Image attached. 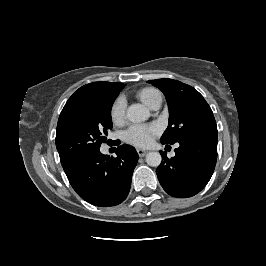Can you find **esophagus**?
<instances>
[{
  "label": "esophagus",
  "mask_w": 266,
  "mask_h": 266,
  "mask_svg": "<svg viewBox=\"0 0 266 266\" xmlns=\"http://www.w3.org/2000/svg\"><path fill=\"white\" fill-rule=\"evenodd\" d=\"M137 153L139 157H144L147 154V151L142 150V149H137Z\"/></svg>",
  "instance_id": "esophagus-1"
}]
</instances>
